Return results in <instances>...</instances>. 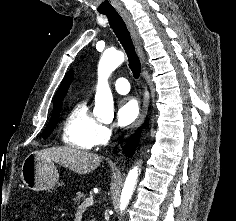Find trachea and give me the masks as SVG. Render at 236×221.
I'll return each instance as SVG.
<instances>
[{
	"instance_id": "trachea-1",
	"label": "trachea",
	"mask_w": 236,
	"mask_h": 221,
	"mask_svg": "<svg viewBox=\"0 0 236 221\" xmlns=\"http://www.w3.org/2000/svg\"><path fill=\"white\" fill-rule=\"evenodd\" d=\"M102 14L107 16L110 27L125 49L128 57L129 68L131 69L134 78L138 79L141 72V64L125 22L116 11L103 12Z\"/></svg>"
}]
</instances>
